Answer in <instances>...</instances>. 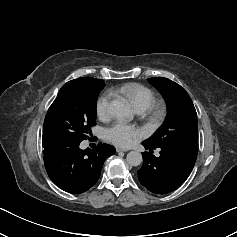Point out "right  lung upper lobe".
<instances>
[{"label": "right lung upper lobe", "mask_w": 237, "mask_h": 237, "mask_svg": "<svg viewBox=\"0 0 237 237\" xmlns=\"http://www.w3.org/2000/svg\"><path fill=\"white\" fill-rule=\"evenodd\" d=\"M84 79H94V78H91V77H84Z\"/></svg>", "instance_id": "obj_1"}]
</instances>
